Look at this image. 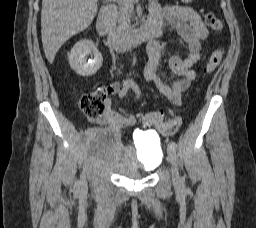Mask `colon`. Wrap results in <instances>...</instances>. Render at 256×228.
Segmentation results:
<instances>
[{"mask_svg":"<svg viewBox=\"0 0 256 228\" xmlns=\"http://www.w3.org/2000/svg\"><path fill=\"white\" fill-rule=\"evenodd\" d=\"M193 0H182L184 3H191ZM207 25L215 31L221 32L223 25L220 20L211 12L204 14ZM223 57V50L217 49L213 52L209 58L207 64L204 67V73L206 75L211 74L220 64ZM106 94L103 90L94 91L84 94L80 99V108L82 112L91 119L100 117L106 106ZM141 121L144 126H156L164 123L163 114L161 112H148L141 116Z\"/></svg>","mask_w":256,"mask_h":228,"instance_id":"5ec220e1","label":"colon"}]
</instances>
